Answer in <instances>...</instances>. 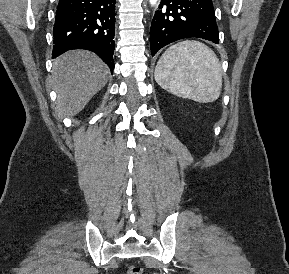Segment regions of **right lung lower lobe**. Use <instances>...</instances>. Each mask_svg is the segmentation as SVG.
<instances>
[{
    "mask_svg": "<svg viewBox=\"0 0 289 274\" xmlns=\"http://www.w3.org/2000/svg\"><path fill=\"white\" fill-rule=\"evenodd\" d=\"M116 0H59L53 29L52 57L67 50L95 52L114 69Z\"/></svg>",
    "mask_w": 289,
    "mask_h": 274,
    "instance_id": "obj_1",
    "label": "right lung lower lobe"
}]
</instances>
